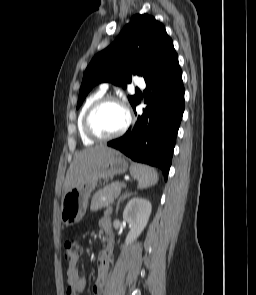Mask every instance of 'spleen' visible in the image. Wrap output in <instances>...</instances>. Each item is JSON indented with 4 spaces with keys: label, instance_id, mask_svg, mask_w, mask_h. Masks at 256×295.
<instances>
[{
    "label": "spleen",
    "instance_id": "spleen-1",
    "mask_svg": "<svg viewBox=\"0 0 256 295\" xmlns=\"http://www.w3.org/2000/svg\"><path fill=\"white\" fill-rule=\"evenodd\" d=\"M133 176L138 180V188H148L158 182L156 170L143 164H135L131 167Z\"/></svg>",
    "mask_w": 256,
    "mask_h": 295
}]
</instances>
